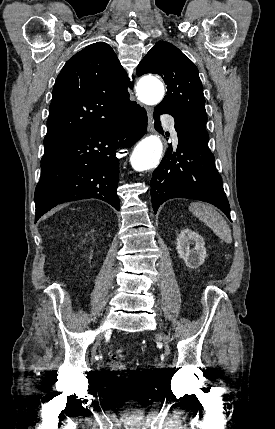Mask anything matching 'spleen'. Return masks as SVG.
<instances>
[{"instance_id":"obj_1","label":"spleen","mask_w":275,"mask_h":429,"mask_svg":"<svg viewBox=\"0 0 275 429\" xmlns=\"http://www.w3.org/2000/svg\"><path fill=\"white\" fill-rule=\"evenodd\" d=\"M189 210L226 243L232 242L231 230L226 220L210 205L193 202Z\"/></svg>"}]
</instances>
